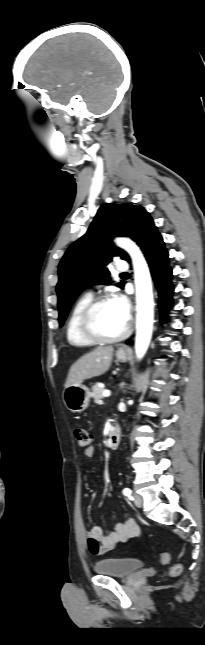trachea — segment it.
<instances>
[{"instance_id":"3493384b","label":"trachea","mask_w":205,"mask_h":645,"mask_svg":"<svg viewBox=\"0 0 205 645\" xmlns=\"http://www.w3.org/2000/svg\"><path fill=\"white\" fill-rule=\"evenodd\" d=\"M126 274H127V273L125 272V273H122L121 275H126Z\"/></svg>"}]
</instances>
